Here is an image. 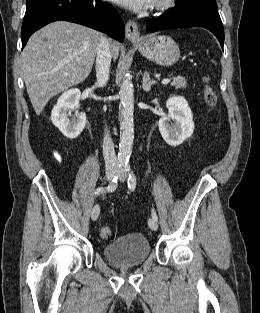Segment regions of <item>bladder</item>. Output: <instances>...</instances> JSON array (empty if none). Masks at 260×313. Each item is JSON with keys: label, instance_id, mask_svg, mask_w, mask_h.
I'll list each match as a JSON object with an SVG mask.
<instances>
[{"label": "bladder", "instance_id": "1", "mask_svg": "<svg viewBox=\"0 0 260 313\" xmlns=\"http://www.w3.org/2000/svg\"><path fill=\"white\" fill-rule=\"evenodd\" d=\"M150 254V243L141 233L120 237L103 249L105 259L118 267L141 265Z\"/></svg>", "mask_w": 260, "mask_h": 313}]
</instances>
